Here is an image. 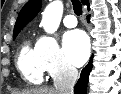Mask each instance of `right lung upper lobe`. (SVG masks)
Listing matches in <instances>:
<instances>
[{
	"instance_id": "right-lung-upper-lobe-1",
	"label": "right lung upper lobe",
	"mask_w": 121,
	"mask_h": 94,
	"mask_svg": "<svg viewBox=\"0 0 121 94\" xmlns=\"http://www.w3.org/2000/svg\"><path fill=\"white\" fill-rule=\"evenodd\" d=\"M84 5L89 8L88 0H82ZM41 0H29L24 7L21 9L15 27L14 33L20 32L40 11Z\"/></svg>"
}]
</instances>
